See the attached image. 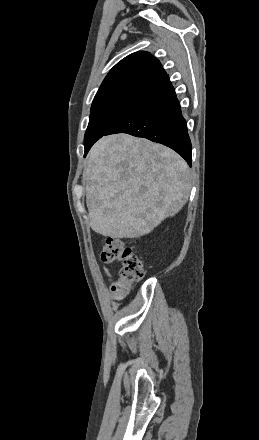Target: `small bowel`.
Masks as SVG:
<instances>
[{
    "label": "small bowel",
    "mask_w": 259,
    "mask_h": 440,
    "mask_svg": "<svg viewBox=\"0 0 259 440\" xmlns=\"http://www.w3.org/2000/svg\"><path fill=\"white\" fill-rule=\"evenodd\" d=\"M104 272H105V274L107 275L108 278L112 277L111 274H110V271H109V269L107 267H104Z\"/></svg>",
    "instance_id": "obj_1"
}]
</instances>
